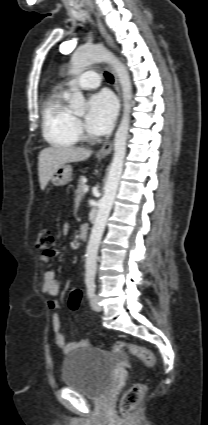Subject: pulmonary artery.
<instances>
[{
    "instance_id": "pulmonary-artery-1",
    "label": "pulmonary artery",
    "mask_w": 208,
    "mask_h": 425,
    "mask_svg": "<svg viewBox=\"0 0 208 425\" xmlns=\"http://www.w3.org/2000/svg\"><path fill=\"white\" fill-rule=\"evenodd\" d=\"M71 86L76 85L81 89H94L100 85L99 75L95 71H87L80 78L72 80Z\"/></svg>"
}]
</instances>
